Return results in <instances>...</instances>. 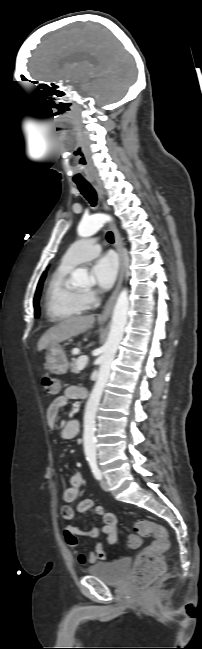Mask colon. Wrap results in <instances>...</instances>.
I'll list each match as a JSON object with an SVG mask.
<instances>
[{"instance_id":"1","label":"colon","mask_w":202,"mask_h":649,"mask_svg":"<svg viewBox=\"0 0 202 649\" xmlns=\"http://www.w3.org/2000/svg\"><path fill=\"white\" fill-rule=\"evenodd\" d=\"M41 384L48 395H57L61 390L59 379L50 375H45ZM108 520L112 522L113 518L108 517ZM139 537H153V542L137 555L133 566L134 584L139 590H143L162 573L163 553L169 547V539L165 527L144 519L135 523L134 533L129 536L130 542L137 543Z\"/></svg>"}]
</instances>
